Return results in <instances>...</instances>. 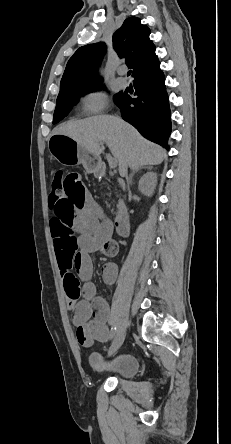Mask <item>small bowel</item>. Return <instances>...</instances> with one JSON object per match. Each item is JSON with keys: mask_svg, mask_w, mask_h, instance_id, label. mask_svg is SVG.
Masks as SVG:
<instances>
[{"mask_svg": "<svg viewBox=\"0 0 231 444\" xmlns=\"http://www.w3.org/2000/svg\"><path fill=\"white\" fill-rule=\"evenodd\" d=\"M66 194L61 199H50L53 217L50 221L55 254L67 295L68 308L76 328V339L83 346L106 342L111 331L108 326L110 308L91 282L93 266L91 255H116L118 246L111 239L107 222L99 220V210L77 173L65 177ZM106 284L116 281L114 264L102 267ZM79 279L85 282L81 288Z\"/></svg>", "mask_w": 231, "mask_h": 444, "instance_id": "obj_1", "label": "small bowel"}]
</instances>
